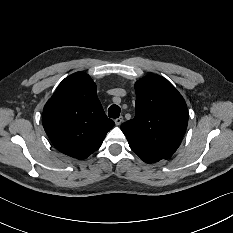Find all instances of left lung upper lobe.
I'll return each mask as SVG.
<instances>
[{"label":"left lung upper lobe","mask_w":233,"mask_h":233,"mask_svg":"<svg viewBox=\"0 0 233 233\" xmlns=\"http://www.w3.org/2000/svg\"><path fill=\"white\" fill-rule=\"evenodd\" d=\"M135 117L121 125L137 155L168 159L177 150L188 124L180 93L165 78L148 75L135 84Z\"/></svg>","instance_id":"1"}]
</instances>
